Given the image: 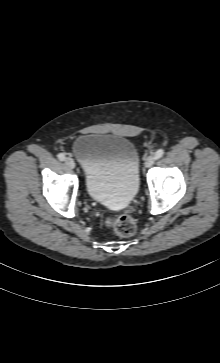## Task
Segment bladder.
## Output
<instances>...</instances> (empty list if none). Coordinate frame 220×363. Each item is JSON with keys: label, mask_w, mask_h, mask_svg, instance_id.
<instances>
[{"label": "bladder", "mask_w": 220, "mask_h": 363, "mask_svg": "<svg viewBox=\"0 0 220 363\" xmlns=\"http://www.w3.org/2000/svg\"><path fill=\"white\" fill-rule=\"evenodd\" d=\"M72 153L82 167L88 195L111 208H125L138 193L140 158L126 137L86 134L73 143Z\"/></svg>", "instance_id": "1"}]
</instances>
